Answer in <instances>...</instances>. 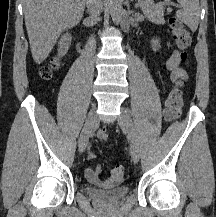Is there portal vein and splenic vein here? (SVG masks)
<instances>
[{
  "instance_id": "obj_1",
  "label": "portal vein and splenic vein",
  "mask_w": 216,
  "mask_h": 217,
  "mask_svg": "<svg viewBox=\"0 0 216 217\" xmlns=\"http://www.w3.org/2000/svg\"><path fill=\"white\" fill-rule=\"evenodd\" d=\"M141 4V2H139V5ZM178 7H180L179 5H178Z\"/></svg>"
}]
</instances>
